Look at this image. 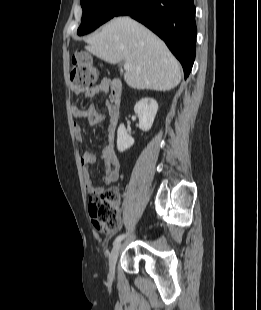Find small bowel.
<instances>
[{
    "instance_id": "obj_1",
    "label": "small bowel",
    "mask_w": 261,
    "mask_h": 310,
    "mask_svg": "<svg viewBox=\"0 0 261 310\" xmlns=\"http://www.w3.org/2000/svg\"><path fill=\"white\" fill-rule=\"evenodd\" d=\"M108 81L102 80L98 85L87 88H73L76 94L84 92L86 97L92 98L98 94L106 95L108 92ZM72 114L75 118H88L91 124H97L103 120V115L99 113L95 106L91 105L86 110H82L78 107H72ZM112 111V107H108L109 117ZM74 135L77 141H82L83 135L78 123L73 124ZM115 139V126L112 124L111 119L107 127V146L101 152V159L105 164V173L103 181L105 184H111L118 180L120 174V161L115 152L114 147ZM97 162V156L92 152H85L81 156L82 175L85 181V187L90 194L102 193V188L93 184L90 178V169Z\"/></svg>"
}]
</instances>
